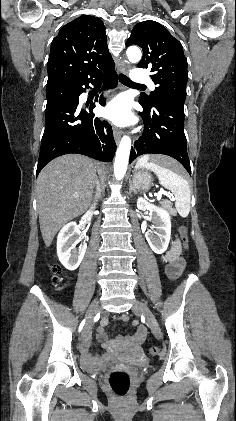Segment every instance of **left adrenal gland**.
Returning a JSON list of instances; mask_svg holds the SVG:
<instances>
[{
  "instance_id": "left-adrenal-gland-1",
  "label": "left adrenal gland",
  "mask_w": 236,
  "mask_h": 421,
  "mask_svg": "<svg viewBox=\"0 0 236 421\" xmlns=\"http://www.w3.org/2000/svg\"><path fill=\"white\" fill-rule=\"evenodd\" d=\"M130 192H137V190H135L132 182H130L129 194H130Z\"/></svg>"
}]
</instances>
